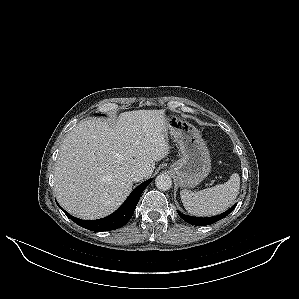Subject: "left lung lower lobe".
Listing matches in <instances>:
<instances>
[{
    "mask_svg": "<svg viewBox=\"0 0 299 299\" xmlns=\"http://www.w3.org/2000/svg\"><path fill=\"white\" fill-rule=\"evenodd\" d=\"M235 207H236V205H233L230 209H228L224 213L217 215V216H213V217H207V218L192 217V216L182 214L181 212H178V214L183 220H185L189 224L205 226V225L213 224V223L221 220L222 218L226 217Z\"/></svg>",
    "mask_w": 299,
    "mask_h": 299,
    "instance_id": "1",
    "label": "left lung lower lobe"
}]
</instances>
